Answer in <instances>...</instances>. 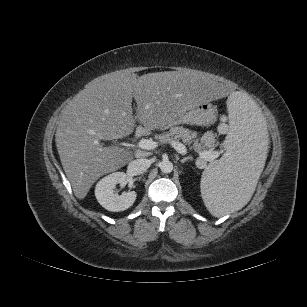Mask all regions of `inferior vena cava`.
<instances>
[{
	"label": "inferior vena cava",
	"instance_id": "602c4592",
	"mask_svg": "<svg viewBox=\"0 0 307 307\" xmlns=\"http://www.w3.org/2000/svg\"><path fill=\"white\" fill-rule=\"evenodd\" d=\"M150 164L151 162L148 159L140 158L133 160L129 163L127 172L132 176L140 175L149 168Z\"/></svg>",
	"mask_w": 307,
	"mask_h": 307
}]
</instances>
